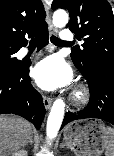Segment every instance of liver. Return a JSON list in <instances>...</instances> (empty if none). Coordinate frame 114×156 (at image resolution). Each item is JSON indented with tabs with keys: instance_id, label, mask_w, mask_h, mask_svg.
I'll return each mask as SVG.
<instances>
[{
	"instance_id": "liver-1",
	"label": "liver",
	"mask_w": 114,
	"mask_h": 156,
	"mask_svg": "<svg viewBox=\"0 0 114 156\" xmlns=\"http://www.w3.org/2000/svg\"><path fill=\"white\" fill-rule=\"evenodd\" d=\"M33 125L13 115H0V156L17 152L32 136Z\"/></svg>"
}]
</instances>
